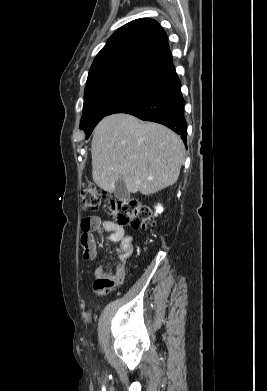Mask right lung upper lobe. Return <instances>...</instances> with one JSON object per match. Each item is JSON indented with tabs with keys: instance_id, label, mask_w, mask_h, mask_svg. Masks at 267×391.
<instances>
[{
	"instance_id": "right-lung-upper-lobe-1",
	"label": "right lung upper lobe",
	"mask_w": 267,
	"mask_h": 391,
	"mask_svg": "<svg viewBox=\"0 0 267 391\" xmlns=\"http://www.w3.org/2000/svg\"><path fill=\"white\" fill-rule=\"evenodd\" d=\"M173 64L167 36L152 19L133 20L119 28L94 59L87 82L116 72L152 76Z\"/></svg>"
}]
</instances>
